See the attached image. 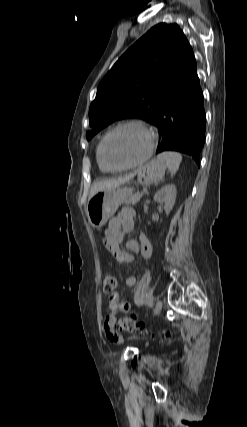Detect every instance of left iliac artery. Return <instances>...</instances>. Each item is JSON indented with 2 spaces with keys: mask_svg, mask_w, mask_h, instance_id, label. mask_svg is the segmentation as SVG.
<instances>
[{
  "mask_svg": "<svg viewBox=\"0 0 247 427\" xmlns=\"http://www.w3.org/2000/svg\"><path fill=\"white\" fill-rule=\"evenodd\" d=\"M147 304H148V306H150V307H151V306L153 305V300H152V299H149V300H148V302H147Z\"/></svg>",
  "mask_w": 247,
  "mask_h": 427,
  "instance_id": "obj_1",
  "label": "left iliac artery"
}]
</instances>
